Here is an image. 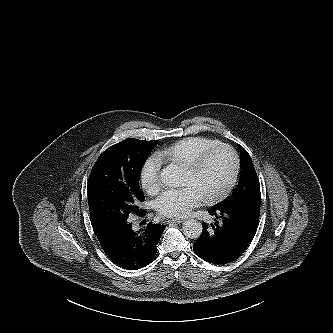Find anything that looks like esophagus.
Segmentation results:
<instances>
[{
  "instance_id": "obj_1",
  "label": "esophagus",
  "mask_w": 333,
  "mask_h": 333,
  "mask_svg": "<svg viewBox=\"0 0 333 333\" xmlns=\"http://www.w3.org/2000/svg\"><path fill=\"white\" fill-rule=\"evenodd\" d=\"M184 220L183 219H169L168 220V223L170 224V223H178V224H180V223H182Z\"/></svg>"
}]
</instances>
